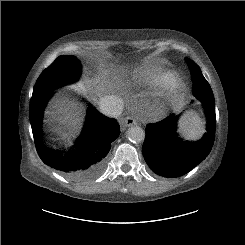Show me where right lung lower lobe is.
<instances>
[{
	"label": "right lung lower lobe",
	"mask_w": 245,
	"mask_h": 245,
	"mask_svg": "<svg viewBox=\"0 0 245 245\" xmlns=\"http://www.w3.org/2000/svg\"><path fill=\"white\" fill-rule=\"evenodd\" d=\"M52 92L30 101V123L36 150L42 161L63 172L74 181H88L102 173L106 166L110 144L120 134L116 119L101 116L89 109L83 135L68 150H54L41 141L43 111Z\"/></svg>",
	"instance_id": "98d812e1"
}]
</instances>
